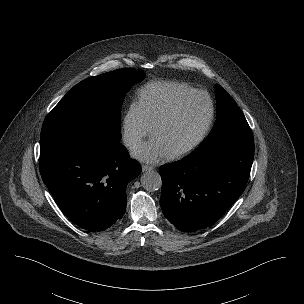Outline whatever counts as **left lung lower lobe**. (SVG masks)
Here are the masks:
<instances>
[{
	"label": "left lung lower lobe",
	"mask_w": 304,
	"mask_h": 304,
	"mask_svg": "<svg viewBox=\"0 0 304 304\" xmlns=\"http://www.w3.org/2000/svg\"><path fill=\"white\" fill-rule=\"evenodd\" d=\"M253 158V139H232L160 166L164 216L183 232L213 225L243 193Z\"/></svg>",
	"instance_id": "1"
}]
</instances>
